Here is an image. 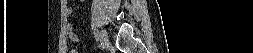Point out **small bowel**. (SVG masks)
Segmentation results:
<instances>
[{
    "label": "small bowel",
    "instance_id": "obj_1",
    "mask_svg": "<svg viewBox=\"0 0 253 53\" xmlns=\"http://www.w3.org/2000/svg\"><path fill=\"white\" fill-rule=\"evenodd\" d=\"M67 34L72 41H77V35L73 29V26L70 24L67 25Z\"/></svg>",
    "mask_w": 253,
    "mask_h": 53
}]
</instances>
